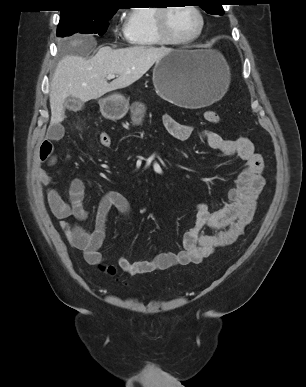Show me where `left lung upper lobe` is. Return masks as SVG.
Returning a JSON list of instances; mask_svg holds the SVG:
<instances>
[{
    "label": "left lung upper lobe",
    "instance_id": "left-lung-upper-lobe-1",
    "mask_svg": "<svg viewBox=\"0 0 306 387\" xmlns=\"http://www.w3.org/2000/svg\"><path fill=\"white\" fill-rule=\"evenodd\" d=\"M223 0H197L198 5L208 14L223 15Z\"/></svg>",
    "mask_w": 306,
    "mask_h": 387
}]
</instances>
